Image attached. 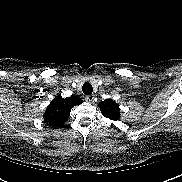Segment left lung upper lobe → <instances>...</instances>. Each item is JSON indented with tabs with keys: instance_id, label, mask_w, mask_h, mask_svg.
<instances>
[{
	"instance_id": "obj_1",
	"label": "left lung upper lobe",
	"mask_w": 182,
	"mask_h": 182,
	"mask_svg": "<svg viewBox=\"0 0 182 182\" xmlns=\"http://www.w3.org/2000/svg\"><path fill=\"white\" fill-rule=\"evenodd\" d=\"M99 108L106 118L118 120L120 118L119 105L112 99H106L99 103Z\"/></svg>"
}]
</instances>
